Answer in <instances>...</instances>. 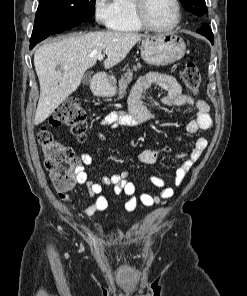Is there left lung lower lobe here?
Segmentation results:
<instances>
[{
  "mask_svg": "<svg viewBox=\"0 0 247 296\" xmlns=\"http://www.w3.org/2000/svg\"><path fill=\"white\" fill-rule=\"evenodd\" d=\"M198 33L204 35L207 39L211 41L212 44L214 43L213 33L207 24H205L201 29H199Z\"/></svg>",
  "mask_w": 247,
  "mask_h": 296,
  "instance_id": "left-lung-lower-lobe-1",
  "label": "left lung lower lobe"
}]
</instances>
